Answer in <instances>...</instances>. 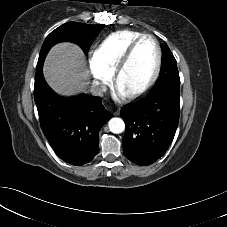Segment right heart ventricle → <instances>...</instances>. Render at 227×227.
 I'll list each match as a JSON object with an SVG mask.
<instances>
[{"mask_svg":"<svg viewBox=\"0 0 227 227\" xmlns=\"http://www.w3.org/2000/svg\"><path fill=\"white\" fill-rule=\"evenodd\" d=\"M140 35H142L141 32L134 30H119L113 32L100 42L94 52V56L98 62L112 74L127 47Z\"/></svg>","mask_w":227,"mask_h":227,"instance_id":"1","label":"right heart ventricle"}]
</instances>
